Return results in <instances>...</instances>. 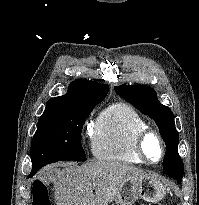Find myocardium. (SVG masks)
Here are the masks:
<instances>
[{"label":"myocardium","instance_id":"myocardium-1","mask_svg":"<svg viewBox=\"0 0 199 205\" xmlns=\"http://www.w3.org/2000/svg\"><path fill=\"white\" fill-rule=\"evenodd\" d=\"M149 137H155L161 147V155L158 161H152L149 156L147 155L146 152V141ZM134 150L136 155L145 163L154 165L160 163L166 154V145L164 142V139L162 135L155 129L153 128H146L142 131H140L135 138V143H134Z\"/></svg>","mask_w":199,"mask_h":205}]
</instances>
